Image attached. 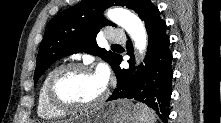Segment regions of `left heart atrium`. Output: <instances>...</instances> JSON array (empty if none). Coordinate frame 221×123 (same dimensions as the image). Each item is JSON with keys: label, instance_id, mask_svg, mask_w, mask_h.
<instances>
[{"label": "left heart atrium", "instance_id": "1", "mask_svg": "<svg viewBox=\"0 0 221 123\" xmlns=\"http://www.w3.org/2000/svg\"><path fill=\"white\" fill-rule=\"evenodd\" d=\"M95 73L97 74V76L101 79V81L104 84L107 82L108 71L104 66H100Z\"/></svg>", "mask_w": 221, "mask_h": 123}]
</instances>
